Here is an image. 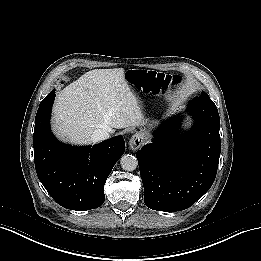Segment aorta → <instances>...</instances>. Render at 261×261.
Listing matches in <instances>:
<instances>
[{"instance_id": "1", "label": "aorta", "mask_w": 261, "mask_h": 261, "mask_svg": "<svg viewBox=\"0 0 261 261\" xmlns=\"http://www.w3.org/2000/svg\"><path fill=\"white\" fill-rule=\"evenodd\" d=\"M120 164L125 171H134L138 166V160L134 155L125 154L120 159Z\"/></svg>"}]
</instances>
